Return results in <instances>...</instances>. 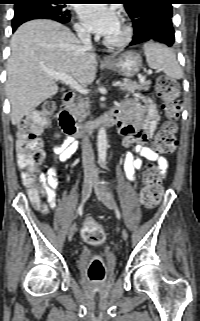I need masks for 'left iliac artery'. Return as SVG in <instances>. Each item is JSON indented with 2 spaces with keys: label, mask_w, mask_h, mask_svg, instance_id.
Instances as JSON below:
<instances>
[{
  "label": "left iliac artery",
  "mask_w": 200,
  "mask_h": 321,
  "mask_svg": "<svg viewBox=\"0 0 200 321\" xmlns=\"http://www.w3.org/2000/svg\"><path fill=\"white\" fill-rule=\"evenodd\" d=\"M116 214H117L118 217H120V212H119V210H116Z\"/></svg>",
  "instance_id": "obj_1"
}]
</instances>
